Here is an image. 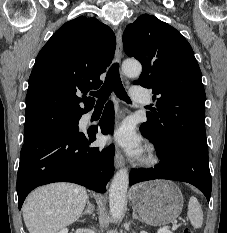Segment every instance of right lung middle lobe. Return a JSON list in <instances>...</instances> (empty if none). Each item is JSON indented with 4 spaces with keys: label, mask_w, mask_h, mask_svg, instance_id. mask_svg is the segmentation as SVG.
<instances>
[{
    "label": "right lung middle lobe",
    "mask_w": 227,
    "mask_h": 233,
    "mask_svg": "<svg viewBox=\"0 0 227 233\" xmlns=\"http://www.w3.org/2000/svg\"><path fill=\"white\" fill-rule=\"evenodd\" d=\"M78 122H79V119H76V120H73V121H70V122H67L53 130H50L48 132H52V131H59V130H66V129H72L74 127H77L78 126ZM48 132H45V133H48ZM45 133H42V134H45ZM42 134H38V135H30V136H24V141H27V140H30V139H33L35 137H38Z\"/></svg>",
    "instance_id": "dd1d6c3e"
}]
</instances>
